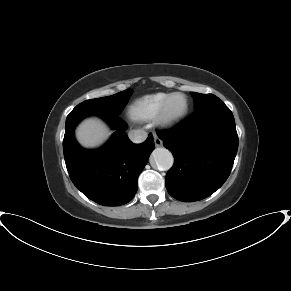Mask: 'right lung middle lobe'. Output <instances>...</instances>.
<instances>
[{
	"instance_id": "right-lung-middle-lobe-1",
	"label": "right lung middle lobe",
	"mask_w": 291,
	"mask_h": 291,
	"mask_svg": "<svg viewBox=\"0 0 291 291\" xmlns=\"http://www.w3.org/2000/svg\"><path fill=\"white\" fill-rule=\"evenodd\" d=\"M132 90L127 89L112 96L86 100L78 104L73 110H91L119 115Z\"/></svg>"
}]
</instances>
